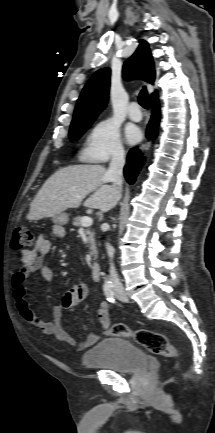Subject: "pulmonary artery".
Returning a JSON list of instances; mask_svg holds the SVG:
<instances>
[{
  "mask_svg": "<svg viewBox=\"0 0 215 433\" xmlns=\"http://www.w3.org/2000/svg\"><path fill=\"white\" fill-rule=\"evenodd\" d=\"M128 115H129V118L133 121H140L141 120L142 112H141L137 102H132L129 105Z\"/></svg>",
  "mask_w": 215,
  "mask_h": 433,
  "instance_id": "1",
  "label": "pulmonary artery"
}]
</instances>
